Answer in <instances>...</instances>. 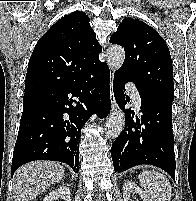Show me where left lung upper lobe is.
Listing matches in <instances>:
<instances>
[{"instance_id":"1","label":"left lung upper lobe","mask_w":196,"mask_h":201,"mask_svg":"<svg viewBox=\"0 0 196 201\" xmlns=\"http://www.w3.org/2000/svg\"><path fill=\"white\" fill-rule=\"evenodd\" d=\"M112 44L125 49V60L115 74L132 81L141 90L173 101V68L168 46L149 25L126 18L110 37Z\"/></svg>"}]
</instances>
